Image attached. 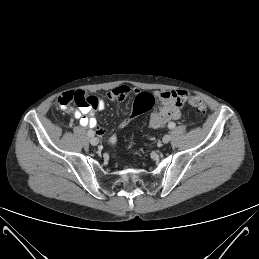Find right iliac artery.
Instances as JSON below:
<instances>
[{"mask_svg": "<svg viewBox=\"0 0 259 259\" xmlns=\"http://www.w3.org/2000/svg\"><path fill=\"white\" fill-rule=\"evenodd\" d=\"M88 136H89V137H93V136H94V132H93L92 130H89V131H88Z\"/></svg>", "mask_w": 259, "mask_h": 259, "instance_id": "right-iliac-artery-1", "label": "right iliac artery"}]
</instances>
